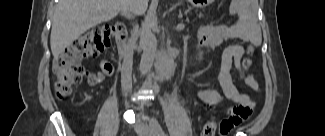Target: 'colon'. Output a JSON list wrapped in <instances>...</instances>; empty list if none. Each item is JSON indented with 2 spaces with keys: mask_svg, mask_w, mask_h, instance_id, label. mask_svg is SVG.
<instances>
[{
  "mask_svg": "<svg viewBox=\"0 0 325 136\" xmlns=\"http://www.w3.org/2000/svg\"><path fill=\"white\" fill-rule=\"evenodd\" d=\"M114 33V28L105 26L91 30L68 46L53 63L55 76V91L58 97L69 95L80 83L85 75L82 61L90 56H96L110 43ZM252 49L249 48L247 56L241 64V72L244 74L251 65L250 55ZM217 123L214 119L209 120L203 127L200 136H214Z\"/></svg>",
  "mask_w": 325,
  "mask_h": 136,
  "instance_id": "colon-1",
  "label": "colon"
}]
</instances>
